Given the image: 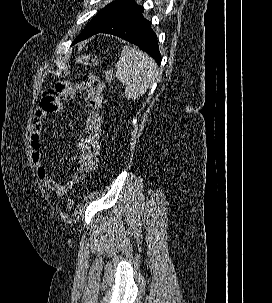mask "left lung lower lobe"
I'll use <instances>...</instances> for the list:
<instances>
[{
    "label": "left lung lower lobe",
    "instance_id": "0a47b994",
    "mask_svg": "<svg viewBox=\"0 0 272 303\" xmlns=\"http://www.w3.org/2000/svg\"><path fill=\"white\" fill-rule=\"evenodd\" d=\"M142 13L143 7L134 5L103 20L91 30L79 36L73 44L97 33L113 34L139 46L160 65L161 54L156 34L151 29L150 22L142 16Z\"/></svg>",
    "mask_w": 272,
    "mask_h": 303
}]
</instances>
